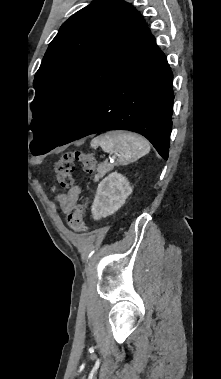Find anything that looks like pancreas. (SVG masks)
I'll use <instances>...</instances> for the list:
<instances>
[{
  "label": "pancreas",
  "instance_id": "pancreas-1",
  "mask_svg": "<svg viewBox=\"0 0 221 379\" xmlns=\"http://www.w3.org/2000/svg\"><path fill=\"white\" fill-rule=\"evenodd\" d=\"M115 164L110 163H101L97 167V173L95 174L94 181H98L102 178L107 172H110L114 168Z\"/></svg>",
  "mask_w": 221,
  "mask_h": 379
}]
</instances>
